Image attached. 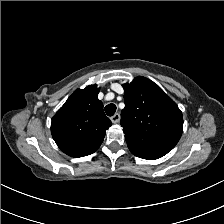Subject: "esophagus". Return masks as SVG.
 Wrapping results in <instances>:
<instances>
[{"label": "esophagus", "instance_id": "1", "mask_svg": "<svg viewBox=\"0 0 224 224\" xmlns=\"http://www.w3.org/2000/svg\"><path fill=\"white\" fill-rule=\"evenodd\" d=\"M110 120L112 121V123L116 124L120 121V114L116 113L113 116L110 117Z\"/></svg>", "mask_w": 224, "mask_h": 224}]
</instances>
